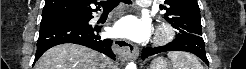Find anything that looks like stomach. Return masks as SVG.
<instances>
[{
	"label": "stomach",
	"mask_w": 246,
	"mask_h": 69,
	"mask_svg": "<svg viewBox=\"0 0 246 69\" xmlns=\"http://www.w3.org/2000/svg\"><path fill=\"white\" fill-rule=\"evenodd\" d=\"M169 67L170 66L166 59L163 57H157L152 61L149 69H170Z\"/></svg>",
	"instance_id": "obj_1"
}]
</instances>
